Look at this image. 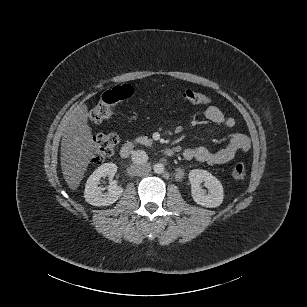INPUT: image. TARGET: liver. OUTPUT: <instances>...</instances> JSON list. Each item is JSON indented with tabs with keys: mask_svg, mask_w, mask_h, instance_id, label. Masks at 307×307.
<instances>
[{
	"mask_svg": "<svg viewBox=\"0 0 307 307\" xmlns=\"http://www.w3.org/2000/svg\"><path fill=\"white\" fill-rule=\"evenodd\" d=\"M89 113L86 105L75 108L61 121V169L68 187L76 190L94 155L95 143L88 126Z\"/></svg>",
	"mask_w": 307,
	"mask_h": 307,
	"instance_id": "liver-1",
	"label": "liver"
}]
</instances>
